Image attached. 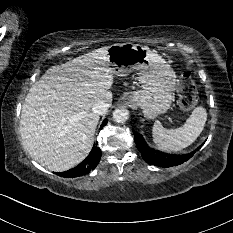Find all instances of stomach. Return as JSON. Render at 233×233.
<instances>
[{"mask_svg": "<svg viewBox=\"0 0 233 233\" xmlns=\"http://www.w3.org/2000/svg\"><path fill=\"white\" fill-rule=\"evenodd\" d=\"M107 57L115 75L137 74L141 89L131 93L129 103L140 107L146 118L154 119L170 108L176 74L162 57L130 42L109 46Z\"/></svg>", "mask_w": 233, "mask_h": 233, "instance_id": "0dacf381", "label": "stomach"}]
</instances>
